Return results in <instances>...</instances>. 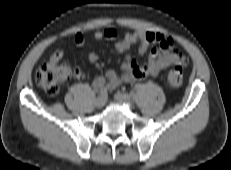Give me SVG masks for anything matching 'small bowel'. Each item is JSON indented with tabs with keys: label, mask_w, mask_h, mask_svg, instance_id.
<instances>
[{
	"label": "small bowel",
	"mask_w": 231,
	"mask_h": 170,
	"mask_svg": "<svg viewBox=\"0 0 231 170\" xmlns=\"http://www.w3.org/2000/svg\"><path fill=\"white\" fill-rule=\"evenodd\" d=\"M117 36V31L113 28L96 31L93 35L95 41L103 39H112ZM76 46L82 47L85 43L84 36L77 33L74 37ZM138 45L140 54H145L150 48L148 61L145 64H140L135 61L130 55V49ZM174 41L172 38L151 31H138L126 33L117 43L116 50L125 54V60L121 65V71L108 70L105 75L98 76L92 81L94 88H104L106 90H113L122 83H130L147 76L155 77L162 70L170 65L176 64L185 66L187 59L182 54L174 52ZM63 57V51H55L51 57V62H59ZM90 62L98 61V55L94 52L88 54ZM72 70L71 66H67Z\"/></svg>",
	"instance_id": "obj_1"
}]
</instances>
